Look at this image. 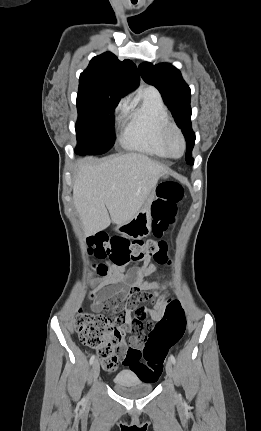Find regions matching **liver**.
<instances>
[{"label": "liver", "mask_w": 261, "mask_h": 431, "mask_svg": "<svg viewBox=\"0 0 261 431\" xmlns=\"http://www.w3.org/2000/svg\"><path fill=\"white\" fill-rule=\"evenodd\" d=\"M77 165L73 200L86 235L106 229L111 221L123 224L131 220L168 172L139 153L84 158Z\"/></svg>", "instance_id": "liver-1"}]
</instances>
